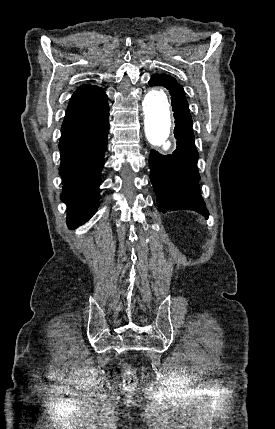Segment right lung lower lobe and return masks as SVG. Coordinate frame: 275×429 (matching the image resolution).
<instances>
[{
  "label": "right lung lower lobe",
  "mask_w": 275,
  "mask_h": 429,
  "mask_svg": "<svg viewBox=\"0 0 275 429\" xmlns=\"http://www.w3.org/2000/svg\"><path fill=\"white\" fill-rule=\"evenodd\" d=\"M108 111L109 108L91 120L63 126L61 130V200L68 207L70 228L88 221L98 208L100 175L109 132Z\"/></svg>",
  "instance_id": "obj_1"
}]
</instances>
